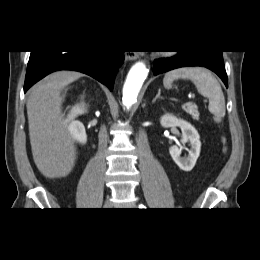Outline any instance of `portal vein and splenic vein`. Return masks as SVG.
Returning a JSON list of instances; mask_svg holds the SVG:
<instances>
[{"label":"portal vein and splenic vein","instance_id":"portal-vein-and-splenic-vein-1","mask_svg":"<svg viewBox=\"0 0 260 260\" xmlns=\"http://www.w3.org/2000/svg\"><path fill=\"white\" fill-rule=\"evenodd\" d=\"M190 103H186V104H184L183 106H185V105H189Z\"/></svg>","mask_w":260,"mask_h":260}]
</instances>
